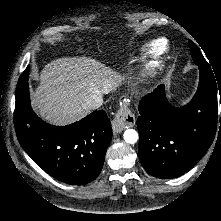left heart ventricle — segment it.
<instances>
[{
  "mask_svg": "<svg viewBox=\"0 0 221 221\" xmlns=\"http://www.w3.org/2000/svg\"><path fill=\"white\" fill-rule=\"evenodd\" d=\"M162 46H163V42H158V43L156 44V47H157L158 49L162 48Z\"/></svg>",
  "mask_w": 221,
  "mask_h": 221,
  "instance_id": "obj_1",
  "label": "left heart ventricle"
}]
</instances>
